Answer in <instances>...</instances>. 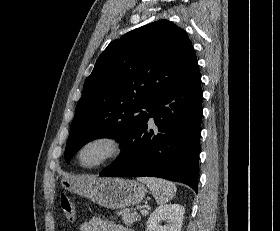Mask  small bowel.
Instances as JSON below:
<instances>
[{
	"label": "small bowel",
	"instance_id": "obj_1",
	"mask_svg": "<svg viewBox=\"0 0 280 231\" xmlns=\"http://www.w3.org/2000/svg\"><path fill=\"white\" fill-rule=\"evenodd\" d=\"M80 231H128L124 226L98 217L80 224Z\"/></svg>",
	"mask_w": 280,
	"mask_h": 231
}]
</instances>
